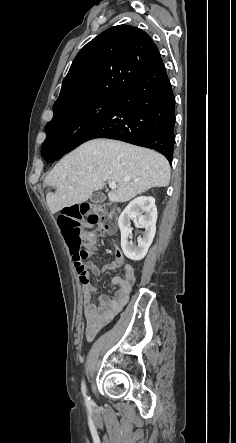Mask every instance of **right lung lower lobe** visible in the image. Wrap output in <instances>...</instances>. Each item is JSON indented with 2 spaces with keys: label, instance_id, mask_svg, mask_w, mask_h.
<instances>
[{
  "label": "right lung lower lobe",
  "instance_id": "1",
  "mask_svg": "<svg viewBox=\"0 0 236 443\" xmlns=\"http://www.w3.org/2000/svg\"><path fill=\"white\" fill-rule=\"evenodd\" d=\"M175 98L161 57L153 67L119 94L67 147L50 146L41 154L59 160L85 141L109 138L154 149L172 162Z\"/></svg>",
  "mask_w": 236,
  "mask_h": 443
}]
</instances>
